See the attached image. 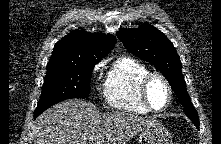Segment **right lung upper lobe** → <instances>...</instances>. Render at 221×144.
<instances>
[{
    "label": "right lung upper lobe",
    "mask_w": 221,
    "mask_h": 144,
    "mask_svg": "<svg viewBox=\"0 0 221 144\" xmlns=\"http://www.w3.org/2000/svg\"><path fill=\"white\" fill-rule=\"evenodd\" d=\"M115 43L112 34L72 31L55 44L48 64L97 63L108 55Z\"/></svg>",
    "instance_id": "obj_1"
}]
</instances>
